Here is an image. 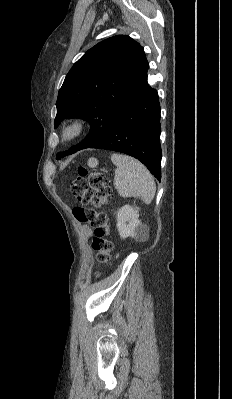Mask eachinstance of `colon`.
<instances>
[{
  "label": "colon",
  "mask_w": 232,
  "mask_h": 399,
  "mask_svg": "<svg viewBox=\"0 0 232 399\" xmlns=\"http://www.w3.org/2000/svg\"><path fill=\"white\" fill-rule=\"evenodd\" d=\"M86 168H97L96 161L86 160L85 163H81L80 175H76L74 181L66 180V185H71L70 194L77 196V202H81V207H75L74 217L78 222H89L90 230H94V238H90V243H94V259L98 263L113 264L112 226L107 225V213H102L99 207L102 199L107 203L111 202V176L105 177L104 173L94 174L93 170H86ZM88 193L90 201H86ZM93 200L94 203H91Z\"/></svg>",
  "instance_id": "5ec220e1"
}]
</instances>
